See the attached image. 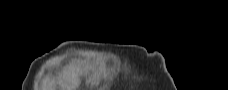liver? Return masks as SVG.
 <instances>
[{
	"label": "liver",
	"mask_w": 228,
	"mask_h": 90,
	"mask_svg": "<svg viewBox=\"0 0 228 90\" xmlns=\"http://www.w3.org/2000/svg\"><path fill=\"white\" fill-rule=\"evenodd\" d=\"M76 84H77V82L72 80V86L66 87V88H75V86H73V85H76ZM67 90H73V89H67Z\"/></svg>",
	"instance_id": "6515ba94"
}]
</instances>
